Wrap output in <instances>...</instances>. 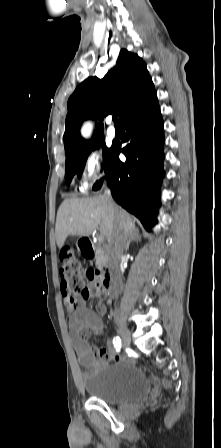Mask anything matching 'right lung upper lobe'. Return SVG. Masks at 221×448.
I'll list each match as a JSON object with an SVG mask.
<instances>
[{
	"label": "right lung upper lobe",
	"mask_w": 221,
	"mask_h": 448,
	"mask_svg": "<svg viewBox=\"0 0 221 448\" xmlns=\"http://www.w3.org/2000/svg\"><path fill=\"white\" fill-rule=\"evenodd\" d=\"M155 92L145 62L137 54L122 49L115 67L103 79L87 78L69 98L64 133L66 158L80 153L91 142L103 136L101 124L92 140L83 139L79 130L84 120L98 117L102 121L103 116L118 110L121 121L127 112L138 107Z\"/></svg>",
	"instance_id": "right-lung-upper-lobe-1"
}]
</instances>
